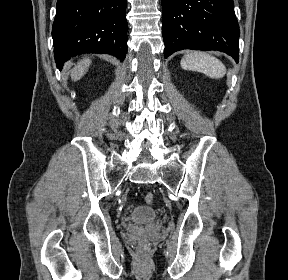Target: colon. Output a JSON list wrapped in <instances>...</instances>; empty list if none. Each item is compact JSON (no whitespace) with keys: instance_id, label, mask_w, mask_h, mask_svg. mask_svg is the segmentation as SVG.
<instances>
[{"instance_id":"colon-1","label":"colon","mask_w":288,"mask_h":280,"mask_svg":"<svg viewBox=\"0 0 288 280\" xmlns=\"http://www.w3.org/2000/svg\"><path fill=\"white\" fill-rule=\"evenodd\" d=\"M144 200L147 204L151 205L154 203V195L152 193H147L144 197Z\"/></svg>"}]
</instances>
